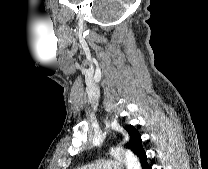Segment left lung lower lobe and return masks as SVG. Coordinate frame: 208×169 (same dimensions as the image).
Instances as JSON below:
<instances>
[{"mask_svg": "<svg viewBox=\"0 0 208 169\" xmlns=\"http://www.w3.org/2000/svg\"><path fill=\"white\" fill-rule=\"evenodd\" d=\"M138 158L140 160L142 169H151V166L149 165V163L147 162V156H146V152L142 151L139 155Z\"/></svg>", "mask_w": 208, "mask_h": 169, "instance_id": "0a47b994", "label": "left lung lower lobe"}]
</instances>
